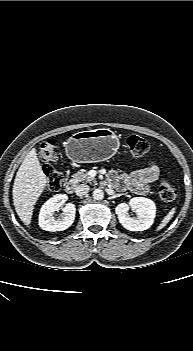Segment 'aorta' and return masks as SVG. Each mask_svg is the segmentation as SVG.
<instances>
[{
    "mask_svg": "<svg viewBox=\"0 0 193 351\" xmlns=\"http://www.w3.org/2000/svg\"><path fill=\"white\" fill-rule=\"evenodd\" d=\"M92 196L95 200H101L104 198V192L101 189H95Z\"/></svg>",
    "mask_w": 193,
    "mask_h": 351,
    "instance_id": "1",
    "label": "aorta"
}]
</instances>
